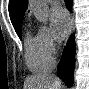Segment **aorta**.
I'll list each match as a JSON object with an SVG mask.
<instances>
[{"instance_id":"1","label":"aorta","mask_w":89,"mask_h":89,"mask_svg":"<svg viewBox=\"0 0 89 89\" xmlns=\"http://www.w3.org/2000/svg\"><path fill=\"white\" fill-rule=\"evenodd\" d=\"M31 9L35 17L46 24L48 22L49 7L47 0H30Z\"/></svg>"}]
</instances>
